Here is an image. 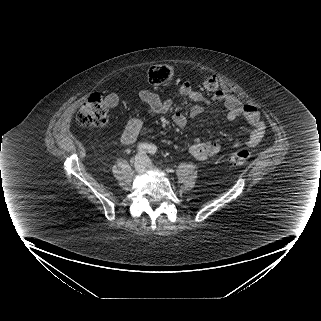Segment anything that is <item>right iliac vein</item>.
Masks as SVG:
<instances>
[{
    "instance_id": "1",
    "label": "right iliac vein",
    "mask_w": 321,
    "mask_h": 321,
    "mask_svg": "<svg viewBox=\"0 0 321 321\" xmlns=\"http://www.w3.org/2000/svg\"><path fill=\"white\" fill-rule=\"evenodd\" d=\"M132 162L137 172L141 173L145 170L146 165L142 156L137 155L132 159Z\"/></svg>"
}]
</instances>
